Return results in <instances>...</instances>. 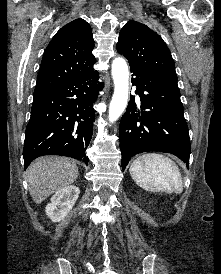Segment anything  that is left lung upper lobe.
Listing matches in <instances>:
<instances>
[{
    "label": "left lung upper lobe",
    "mask_w": 221,
    "mask_h": 274,
    "mask_svg": "<svg viewBox=\"0 0 221 274\" xmlns=\"http://www.w3.org/2000/svg\"><path fill=\"white\" fill-rule=\"evenodd\" d=\"M117 51L130 65L177 86L175 64L167 45L146 25L127 22L119 33Z\"/></svg>",
    "instance_id": "1"
}]
</instances>
